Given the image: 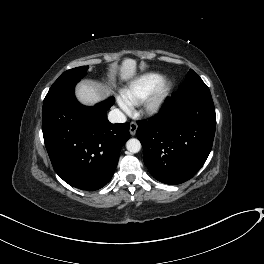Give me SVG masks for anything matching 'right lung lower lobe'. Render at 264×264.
I'll use <instances>...</instances> for the list:
<instances>
[{
    "label": "right lung lower lobe",
    "mask_w": 264,
    "mask_h": 264,
    "mask_svg": "<svg viewBox=\"0 0 264 264\" xmlns=\"http://www.w3.org/2000/svg\"><path fill=\"white\" fill-rule=\"evenodd\" d=\"M110 97L93 107L80 104L71 88L45 101L42 131L56 173L69 185L94 191L112 178L122 146L129 139V123L108 121Z\"/></svg>",
    "instance_id": "obj_1"
}]
</instances>
